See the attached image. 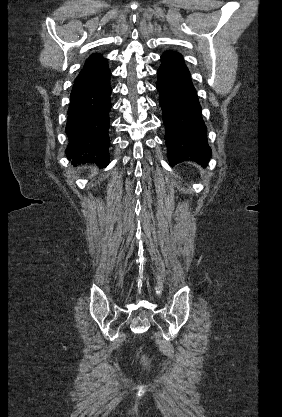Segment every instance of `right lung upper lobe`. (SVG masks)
<instances>
[{"instance_id": "obj_1", "label": "right lung upper lobe", "mask_w": 282, "mask_h": 417, "mask_svg": "<svg viewBox=\"0 0 282 417\" xmlns=\"http://www.w3.org/2000/svg\"><path fill=\"white\" fill-rule=\"evenodd\" d=\"M102 59H104L103 57H102V55H100V54H92L88 59H87V61H86V63H85V65H84V67H86V66H89V65H91V64H94V63H96V62H98V61H100V60H102Z\"/></svg>"}]
</instances>
